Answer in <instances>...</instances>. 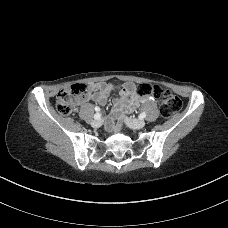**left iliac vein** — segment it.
Instances as JSON below:
<instances>
[{
    "label": "left iliac vein",
    "instance_id": "4c4485c4",
    "mask_svg": "<svg viewBox=\"0 0 228 228\" xmlns=\"http://www.w3.org/2000/svg\"><path fill=\"white\" fill-rule=\"evenodd\" d=\"M126 123L133 129H141L146 125V122L142 119L126 118Z\"/></svg>",
    "mask_w": 228,
    "mask_h": 228
}]
</instances>
